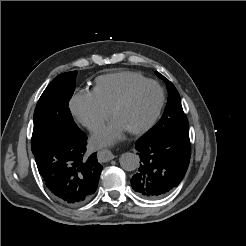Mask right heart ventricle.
Listing matches in <instances>:
<instances>
[{
    "label": "right heart ventricle",
    "mask_w": 246,
    "mask_h": 246,
    "mask_svg": "<svg viewBox=\"0 0 246 246\" xmlns=\"http://www.w3.org/2000/svg\"><path fill=\"white\" fill-rule=\"evenodd\" d=\"M143 80H146V78L136 72L118 71L108 73L96 78L91 92L97 102L110 111L115 102L129 87Z\"/></svg>",
    "instance_id": "right-heart-ventricle-1"
}]
</instances>
